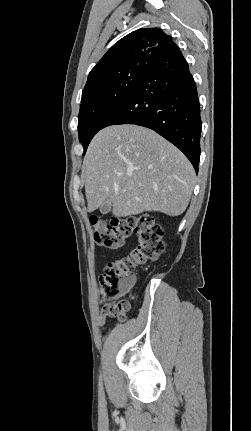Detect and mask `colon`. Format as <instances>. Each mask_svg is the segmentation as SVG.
Returning <instances> with one entry per match:
<instances>
[{"instance_id": "obj_1", "label": "colon", "mask_w": 251, "mask_h": 431, "mask_svg": "<svg viewBox=\"0 0 251 431\" xmlns=\"http://www.w3.org/2000/svg\"><path fill=\"white\" fill-rule=\"evenodd\" d=\"M90 223L94 240L108 250H117L132 235L136 236V247L126 256L108 263L99 278V297L106 302L105 311L124 321L130 304L127 300L114 301L132 286L134 269L157 259L164 251L163 228L150 214L113 218L110 221L91 216Z\"/></svg>"}]
</instances>
